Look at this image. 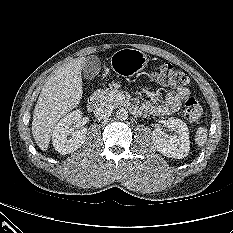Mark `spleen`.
Wrapping results in <instances>:
<instances>
[{
    "label": "spleen",
    "mask_w": 233,
    "mask_h": 233,
    "mask_svg": "<svg viewBox=\"0 0 233 233\" xmlns=\"http://www.w3.org/2000/svg\"><path fill=\"white\" fill-rule=\"evenodd\" d=\"M207 132V128L198 127L195 135V141L198 144V146L202 147L205 145L208 136Z\"/></svg>",
    "instance_id": "spleen-1"
}]
</instances>
